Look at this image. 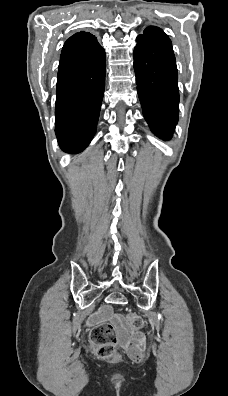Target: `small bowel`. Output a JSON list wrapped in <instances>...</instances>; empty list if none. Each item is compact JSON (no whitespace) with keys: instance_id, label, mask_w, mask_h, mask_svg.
I'll return each instance as SVG.
<instances>
[{"instance_id":"c3829d8e","label":"small bowel","mask_w":228,"mask_h":396,"mask_svg":"<svg viewBox=\"0 0 228 396\" xmlns=\"http://www.w3.org/2000/svg\"><path fill=\"white\" fill-rule=\"evenodd\" d=\"M109 311H105V315H107ZM112 321L115 326L122 331L123 329V321L119 316H112ZM124 337V335H123ZM123 347L125 348L128 355L135 361H142L145 356L146 349V339L142 333H136L133 338L127 339L124 337L123 339Z\"/></svg>"}]
</instances>
